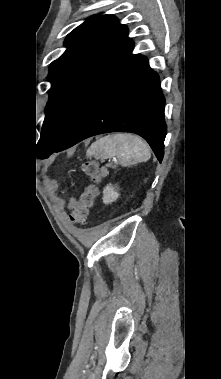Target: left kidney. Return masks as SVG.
<instances>
[{"instance_id":"obj_1","label":"left kidney","mask_w":221,"mask_h":379,"mask_svg":"<svg viewBox=\"0 0 221 379\" xmlns=\"http://www.w3.org/2000/svg\"><path fill=\"white\" fill-rule=\"evenodd\" d=\"M119 197V193L115 190V188L109 184L103 190V203L110 204L117 200Z\"/></svg>"}]
</instances>
